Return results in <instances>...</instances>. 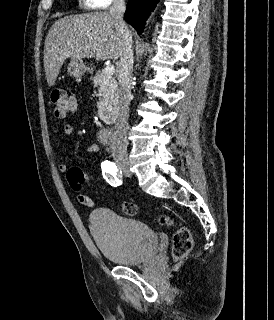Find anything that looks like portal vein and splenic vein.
Masks as SVG:
<instances>
[{
	"label": "portal vein and splenic vein",
	"instance_id": "18ae733b",
	"mask_svg": "<svg viewBox=\"0 0 274 320\" xmlns=\"http://www.w3.org/2000/svg\"><path fill=\"white\" fill-rule=\"evenodd\" d=\"M114 72L115 66H111V64H108V66L103 70V74H108V76H113Z\"/></svg>",
	"mask_w": 274,
	"mask_h": 320
}]
</instances>
